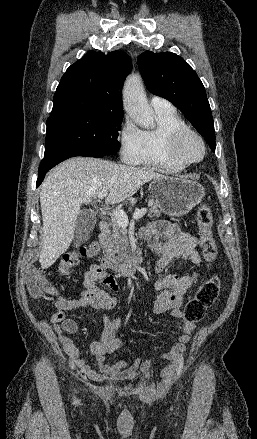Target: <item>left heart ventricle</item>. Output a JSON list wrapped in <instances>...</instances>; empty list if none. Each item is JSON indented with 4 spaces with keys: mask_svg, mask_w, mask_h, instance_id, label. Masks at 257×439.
<instances>
[{
    "mask_svg": "<svg viewBox=\"0 0 257 439\" xmlns=\"http://www.w3.org/2000/svg\"><path fill=\"white\" fill-rule=\"evenodd\" d=\"M181 151L187 159L197 160L202 155V146L196 138L189 137L182 144Z\"/></svg>",
    "mask_w": 257,
    "mask_h": 439,
    "instance_id": "b2bd125f",
    "label": "left heart ventricle"
}]
</instances>
